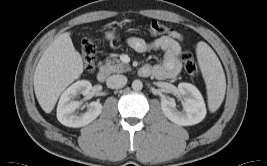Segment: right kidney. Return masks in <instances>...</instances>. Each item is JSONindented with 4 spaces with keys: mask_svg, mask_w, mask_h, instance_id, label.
Segmentation results:
<instances>
[{
    "mask_svg": "<svg viewBox=\"0 0 267 166\" xmlns=\"http://www.w3.org/2000/svg\"><path fill=\"white\" fill-rule=\"evenodd\" d=\"M91 88L92 84L89 81L79 80L63 92L57 106V119L61 124L79 128L88 125L100 115L102 105L99 102H91L85 113L75 114L82 103L74 98L79 94L87 96Z\"/></svg>",
    "mask_w": 267,
    "mask_h": 166,
    "instance_id": "right-kidney-1",
    "label": "right kidney"
}]
</instances>
